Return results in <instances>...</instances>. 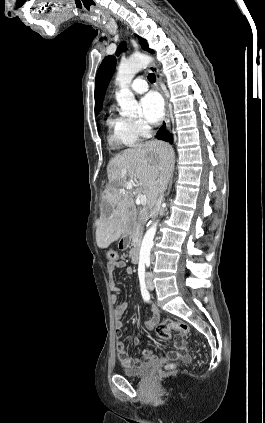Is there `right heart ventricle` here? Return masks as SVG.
Wrapping results in <instances>:
<instances>
[{"mask_svg": "<svg viewBox=\"0 0 265 423\" xmlns=\"http://www.w3.org/2000/svg\"><path fill=\"white\" fill-rule=\"evenodd\" d=\"M111 146H131L138 141L131 120L120 115L110 114L106 121Z\"/></svg>", "mask_w": 265, "mask_h": 423, "instance_id": "right-heart-ventricle-1", "label": "right heart ventricle"}]
</instances>
